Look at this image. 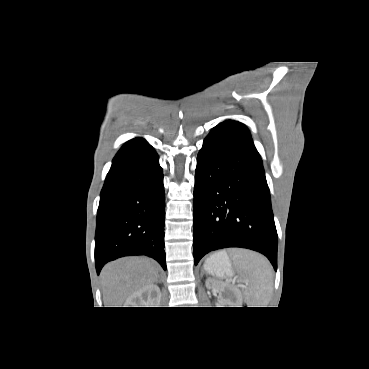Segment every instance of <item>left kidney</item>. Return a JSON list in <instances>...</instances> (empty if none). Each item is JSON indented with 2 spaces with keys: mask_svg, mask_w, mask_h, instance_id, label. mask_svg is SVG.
Wrapping results in <instances>:
<instances>
[{
  "mask_svg": "<svg viewBox=\"0 0 369 369\" xmlns=\"http://www.w3.org/2000/svg\"><path fill=\"white\" fill-rule=\"evenodd\" d=\"M205 285L208 289L224 294V297L220 298L221 304L228 305V307H242L243 298L238 289L231 288L226 283L213 278H207Z\"/></svg>",
  "mask_w": 369,
  "mask_h": 369,
  "instance_id": "1",
  "label": "left kidney"
}]
</instances>
